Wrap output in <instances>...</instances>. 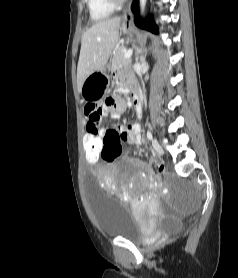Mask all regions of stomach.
Segmentation results:
<instances>
[{
  "label": "stomach",
  "instance_id": "stomach-1",
  "mask_svg": "<svg viewBox=\"0 0 238 278\" xmlns=\"http://www.w3.org/2000/svg\"><path fill=\"white\" fill-rule=\"evenodd\" d=\"M121 30L123 33L132 31V27L122 24ZM111 78L110 69H101L90 74L84 81L81 88V96L86 101L98 100L108 89L109 79Z\"/></svg>",
  "mask_w": 238,
  "mask_h": 278
}]
</instances>
